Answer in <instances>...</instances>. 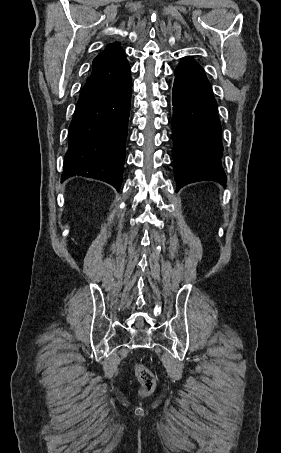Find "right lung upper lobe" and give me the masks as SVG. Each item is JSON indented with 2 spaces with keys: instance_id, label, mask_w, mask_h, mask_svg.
I'll use <instances>...</instances> for the list:
<instances>
[{
  "instance_id": "cb5924a9",
  "label": "right lung upper lobe",
  "mask_w": 281,
  "mask_h": 453,
  "mask_svg": "<svg viewBox=\"0 0 281 453\" xmlns=\"http://www.w3.org/2000/svg\"><path fill=\"white\" fill-rule=\"evenodd\" d=\"M122 51L123 49L120 47L119 43L116 42L108 44L106 48L93 60V68L109 61Z\"/></svg>"
}]
</instances>
